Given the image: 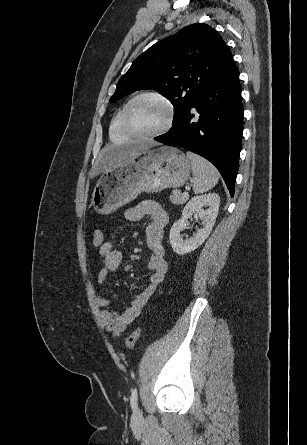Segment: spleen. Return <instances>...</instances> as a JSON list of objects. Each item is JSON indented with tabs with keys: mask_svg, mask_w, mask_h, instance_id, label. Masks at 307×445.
<instances>
[{
	"mask_svg": "<svg viewBox=\"0 0 307 445\" xmlns=\"http://www.w3.org/2000/svg\"><path fill=\"white\" fill-rule=\"evenodd\" d=\"M193 170V190L195 194L206 192L213 188L219 180V172L211 162L206 158H202L199 154L194 152H186Z\"/></svg>",
	"mask_w": 307,
	"mask_h": 445,
	"instance_id": "obj_1",
	"label": "spleen"
}]
</instances>
